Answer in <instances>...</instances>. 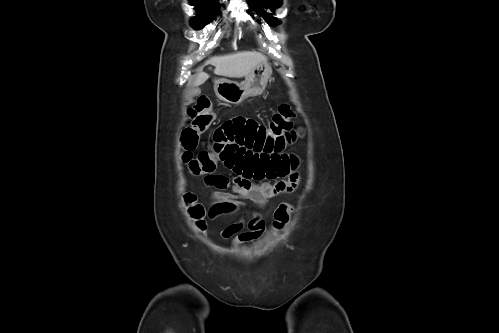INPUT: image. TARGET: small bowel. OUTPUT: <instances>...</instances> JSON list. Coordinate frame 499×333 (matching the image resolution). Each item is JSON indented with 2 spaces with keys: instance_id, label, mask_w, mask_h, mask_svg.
Returning a JSON list of instances; mask_svg holds the SVG:
<instances>
[{
  "instance_id": "small-bowel-1",
  "label": "small bowel",
  "mask_w": 499,
  "mask_h": 333,
  "mask_svg": "<svg viewBox=\"0 0 499 333\" xmlns=\"http://www.w3.org/2000/svg\"><path fill=\"white\" fill-rule=\"evenodd\" d=\"M295 136L292 128L282 136H274L266 126L244 117L224 122L214 133L213 149L232 176L205 177L206 184L216 189L210 215L231 212L244 206V200L264 208L269 199L293 192L300 181L296 171L298 162L285 149ZM277 178L285 179L270 182ZM264 227V220L255 215L246 229L243 222H236L219 234L223 239L233 238V244L237 245L257 239Z\"/></svg>"
}]
</instances>
